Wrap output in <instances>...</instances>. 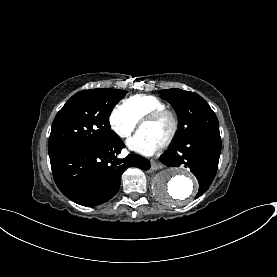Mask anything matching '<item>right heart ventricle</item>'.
I'll return each mask as SVG.
<instances>
[{
  "label": "right heart ventricle",
  "instance_id": "e07e8e85",
  "mask_svg": "<svg viewBox=\"0 0 277 277\" xmlns=\"http://www.w3.org/2000/svg\"><path fill=\"white\" fill-rule=\"evenodd\" d=\"M124 107L137 121H140L147 112L151 110L165 109L166 105L155 96L137 94L128 98L124 102Z\"/></svg>",
  "mask_w": 277,
  "mask_h": 277
}]
</instances>
